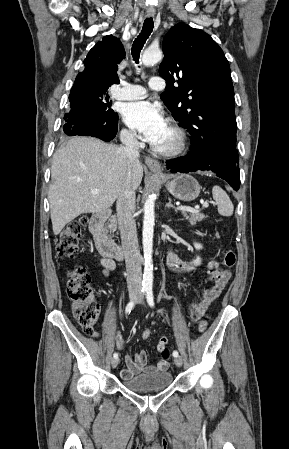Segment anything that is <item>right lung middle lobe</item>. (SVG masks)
Returning <instances> with one entry per match:
<instances>
[{
	"label": "right lung middle lobe",
	"instance_id": "right-lung-middle-lobe-1",
	"mask_svg": "<svg viewBox=\"0 0 289 449\" xmlns=\"http://www.w3.org/2000/svg\"><path fill=\"white\" fill-rule=\"evenodd\" d=\"M108 89L95 90L82 95L81 99L73 106L69 114L65 118L71 119L73 123L79 122H94L97 125H108L114 122L117 113H115L110 106ZM64 133L70 136L66 130Z\"/></svg>",
	"mask_w": 289,
	"mask_h": 449
}]
</instances>
